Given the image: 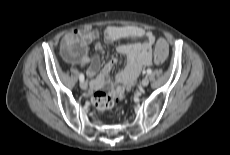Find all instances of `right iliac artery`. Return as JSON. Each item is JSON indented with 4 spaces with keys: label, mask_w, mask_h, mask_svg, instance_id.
<instances>
[{
    "label": "right iliac artery",
    "mask_w": 230,
    "mask_h": 155,
    "mask_svg": "<svg viewBox=\"0 0 230 155\" xmlns=\"http://www.w3.org/2000/svg\"><path fill=\"white\" fill-rule=\"evenodd\" d=\"M79 79L80 81H84V75L82 73L79 75Z\"/></svg>",
    "instance_id": "1"
}]
</instances>
